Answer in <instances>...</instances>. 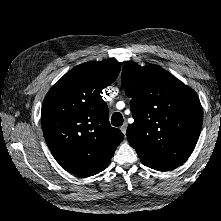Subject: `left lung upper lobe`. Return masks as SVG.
Here are the masks:
<instances>
[{"label": "left lung upper lobe", "instance_id": "1", "mask_svg": "<svg viewBox=\"0 0 221 221\" xmlns=\"http://www.w3.org/2000/svg\"><path fill=\"white\" fill-rule=\"evenodd\" d=\"M122 86L134 122L127 128L129 144L140 160L176 168L193 152L202 127V107L189 87L160 66L126 62Z\"/></svg>", "mask_w": 221, "mask_h": 221}]
</instances>
